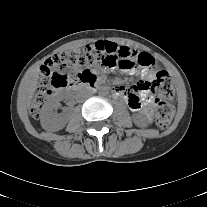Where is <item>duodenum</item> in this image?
<instances>
[{"instance_id": "1", "label": "duodenum", "mask_w": 207, "mask_h": 207, "mask_svg": "<svg viewBox=\"0 0 207 207\" xmlns=\"http://www.w3.org/2000/svg\"><path fill=\"white\" fill-rule=\"evenodd\" d=\"M70 85H73V90H82L85 88H90L92 90H94L97 85L95 83V79H82L78 82L75 83H70Z\"/></svg>"}]
</instances>
